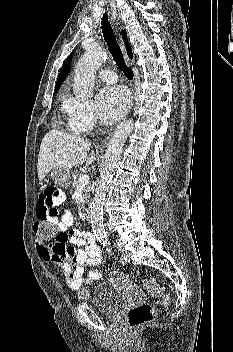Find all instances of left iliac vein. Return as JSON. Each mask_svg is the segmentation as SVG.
<instances>
[{
	"mask_svg": "<svg viewBox=\"0 0 233 352\" xmlns=\"http://www.w3.org/2000/svg\"><path fill=\"white\" fill-rule=\"evenodd\" d=\"M123 257L125 258V262L130 261L131 253L129 251H124Z\"/></svg>",
	"mask_w": 233,
	"mask_h": 352,
	"instance_id": "4c4485c4",
	"label": "left iliac vein"
}]
</instances>
